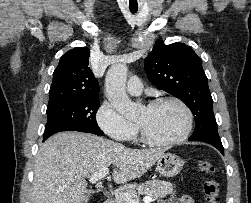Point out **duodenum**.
Returning a JSON list of instances; mask_svg holds the SVG:
<instances>
[{
	"mask_svg": "<svg viewBox=\"0 0 251 203\" xmlns=\"http://www.w3.org/2000/svg\"><path fill=\"white\" fill-rule=\"evenodd\" d=\"M104 203H114V200H113V199H106V200L104 201Z\"/></svg>",
	"mask_w": 251,
	"mask_h": 203,
	"instance_id": "1",
	"label": "duodenum"
}]
</instances>
